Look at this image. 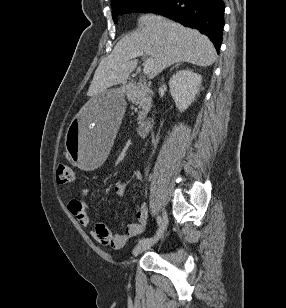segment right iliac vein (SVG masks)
<instances>
[{
    "mask_svg": "<svg viewBox=\"0 0 286 308\" xmlns=\"http://www.w3.org/2000/svg\"><path fill=\"white\" fill-rule=\"evenodd\" d=\"M167 222H168V217H167V213L164 211L162 214V219H161V224L159 226V229L156 233V235L152 236L149 240L147 241H143L141 243H138L133 251H132V255L133 257H137L139 254H141L143 251L149 249L150 247H152L155 243H157V241L159 240V238L161 237V235L163 234L164 230L166 229L167 226Z\"/></svg>",
    "mask_w": 286,
    "mask_h": 308,
    "instance_id": "63e3f726",
    "label": "right iliac vein"
}]
</instances>
